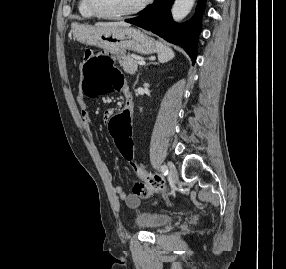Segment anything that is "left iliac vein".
Wrapping results in <instances>:
<instances>
[{"instance_id":"obj_1","label":"left iliac vein","mask_w":286,"mask_h":269,"mask_svg":"<svg viewBox=\"0 0 286 269\" xmlns=\"http://www.w3.org/2000/svg\"><path fill=\"white\" fill-rule=\"evenodd\" d=\"M168 171H169V176L172 182L176 184L178 180V175H177L176 167L172 162H168Z\"/></svg>"}]
</instances>
